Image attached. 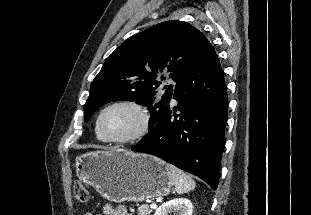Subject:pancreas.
Instances as JSON below:
<instances>
[{"mask_svg":"<svg viewBox=\"0 0 311 215\" xmlns=\"http://www.w3.org/2000/svg\"><path fill=\"white\" fill-rule=\"evenodd\" d=\"M152 209L147 204L140 205L138 208V215H150Z\"/></svg>","mask_w":311,"mask_h":215,"instance_id":"cf45deb5","label":"pancreas"}]
</instances>
